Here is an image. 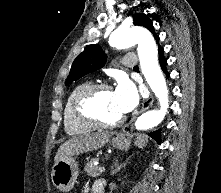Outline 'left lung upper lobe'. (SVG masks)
I'll list each match as a JSON object with an SVG mask.
<instances>
[{
	"label": "left lung upper lobe",
	"instance_id": "1",
	"mask_svg": "<svg viewBox=\"0 0 221 193\" xmlns=\"http://www.w3.org/2000/svg\"><path fill=\"white\" fill-rule=\"evenodd\" d=\"M134 25L146 27L152 32L156 40L159 36L155 34L152 21L141 13L133 15ZM106 62V55L103 53L98 45H87L83 52L80 53L74 60L69 76L67 77L65 85L83 77L84 75L96 71L104 66Z\"/></svg>",
	"mask_w": 221,
	"mask_h": 193
}]
</instances>
